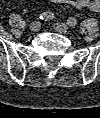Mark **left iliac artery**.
<instances>
[{"instance_id": "44dca946", "label": "left iliac artery", "mask_w": 100, "mask_h": 118, "mask_svg": "<svg viewBox=\"0 0 100 118\" xmlns=\"http://www.w3.org/2000/svg\"><path fill=\"white\" fill-rule=\"evenodd\" d=\"M67 24L71 27H74L77 25V20L73 17H70L68 20H67Z\"/></svg>"}]
</instances>
